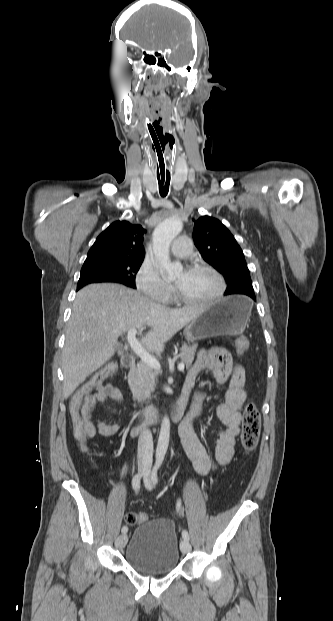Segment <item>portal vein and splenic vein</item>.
Listing matches in <instances>:
<instances>
[{"instance_id": "1", "label": "portal vein and splenic vein", "mask_w": 333, "mask_h": 621, "mask_svg": "<svg viewBox=\"0 0 333 621\" xmlns=\"http://www.w3.org/2000/svg\"><path fill=\"white\" fill-rule=\"evenodd\" d=\"M137 329L131 328L127 333V341L130 344L133 351L141 358L143 362H145L150 367H153L157 370L160 369V363L151 356L147 350L141 345V343L136 339ZM185 368L184 362L178 364V370L183 371Z\"/></svg>"}]
</instances>
